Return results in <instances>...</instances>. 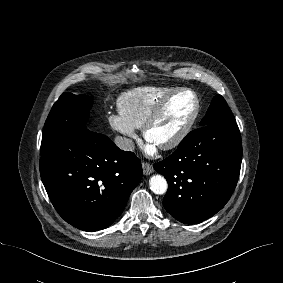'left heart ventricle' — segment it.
Wrapping results in <instances>:
<instances>
[{
  "label": "left heart ventricle",
  "instance_id": "left-heart-ventricle-1",
  "mask_svg": "<svg viewBox=\"0 0 283 283\" xmlns=\"http://www.w3.org/2000/svg\"><path fill=\"white\" fill-rule=\"evenodd\" d=\"M194 108L193 97L184 93L175 97L149 131V140L160 145L171 139L185 124Z\"/></svg>",
  "mask_w": 283,
  "mask_h": 283
}]
</instances>
